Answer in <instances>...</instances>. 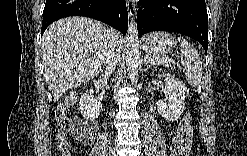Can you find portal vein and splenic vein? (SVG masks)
Here are the masks:
<instances>
[{"label":"portal vein and splenic vein","instance_id":"18ae733b","mask_svg":"<svg viewBox=\"0 0 247 156\" xmlns=\"http://www.w3.org/2000/svg\"><path fill=\"white\" fill-rule=\"evenodd\" d=\"M170 62H173V64L175 63V62H174L173 60H171V59H164V60L160 61L161 64H165V65H168V63H170Z\"/></svg>","mask_w":247,"mask_h":156}]
</instances>
